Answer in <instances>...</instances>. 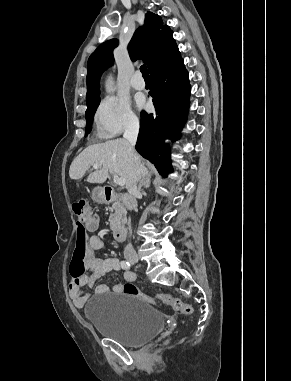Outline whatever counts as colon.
Here are the masks:
<instances>
[{
  "label": "colon",
  "mask_w": 291,
  "mask_h": 381,
  "mask_svg": "<svg viewBox=\"0 0 291 381\" xmlns=\"http://www.w3.org/2000/svg\"><path fill=\"white\" fill-rule=\"evenodd\" d=\"M72 210L74 212L78 225L77 241L73 256V264L75 265V268L78 271L82 272L84 268L83 261L86 252V232L95 231L98 228V219L92 213L89 204L84 199L75 201L72 205ZM123 292L125 294L141 298L147 301L148 303H156L155 299L152 296L140 291L131 283H127L123 286ZM157 299H159L164 304L171 306L174 310H176L179 313L188 315L192 312L191 306L177 297L167 294H160L157 295Z\"/></svg>",
  "instance_id": "obj_1"
}]
</instances>
